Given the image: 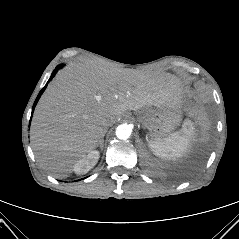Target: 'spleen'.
Here are the masks:
<instances>
[{
	"instance_id": "3e777b00",
	"label": "spleen",
	"mask_w": 239,
	"mask_h": 239,
	"mask_svg": "<svg viewBox=\"0 0 239 239\" xmlns=\"http://www.w3.org/2000/svg\"><path fill=\"white\" fill-rule=\"evenodd\" d=\"M194 134V124L186 119L179 131L166 138L150 140L148 145L156 156L163 159H177L182 157L190 147V139Z\"/></svg>"
}]
</instances>
